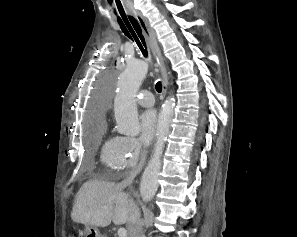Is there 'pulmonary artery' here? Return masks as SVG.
Listing matches in <instances>:
<instances>
[{
	"mask_svg": "<svg viewBox=\"0 0 297 237\" xmlns=\"http://www.w3.org/2000/svg\"><path fill=\"white\" fill-rule=\"evenodd\" d=\"M137 102L144 107H150L154 105L153 94L148 90L141 91L137 96Z\"/></svg>",
	"mask_w": 297,
	"mask_h": 237,
	"instance_id": "1",
	"label": "pulmonary artery"
}]
</instances>
